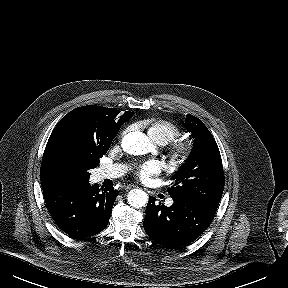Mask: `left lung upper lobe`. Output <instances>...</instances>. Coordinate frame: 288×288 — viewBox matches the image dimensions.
<instances>
[{
    "label": "left lung upper lobe",
    "mask_w": 288,
    "mask_h": 288,
    "mask_svg": "<svg viewBox=\"0 0 288 288\" xmlns=\"http://www.w3.org/2000/svg\"><path fill=\"white\" fill-rule=\"evenodd\" d=\"M185 128L195 138L189 158L172 176L167 189L174 200L191 201L217 210L224 190V172L219 148L207 127L188 114Z\"/></svg>",
    "instance_id": "5c2ea615"
}]
</instances>
